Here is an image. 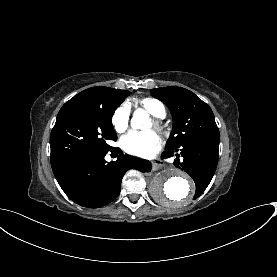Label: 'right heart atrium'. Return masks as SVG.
I'll use <instances>...</instances> for the list:
<instances>
[{
  "label": "right heart atrium",
  "mask_w": 277,
  "mask_h": 277,
  "mask_svg": "<svg viewBox=\"0 0 277 277\" xmlns=\"http://www.w3.org/2000/svg\"><path fill=\"white\" fill-rule=\"evenodd\" d=\"M112 124L119 133L125 132L129 126V112L125 107H119L112 116Z\"/></svg>",
  "instance_id": "d8ad5b80"
}]
</instances>
